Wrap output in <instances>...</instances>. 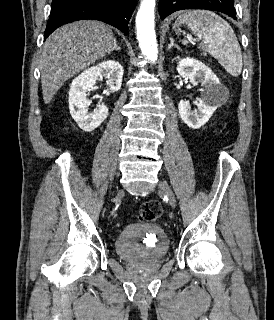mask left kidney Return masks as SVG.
<instances>
[{
    "label": "left kidney",
    "instance_id": "5707ae66",
    "mask_svg": "<svg viewBox=\"0 0 274 320\" xmlns=\"http://www.w3.org/2000/svg\"><path fill=\"white\" fill-rule=\"evenodd\" d=\"M177 72L182 78H188L193 86H204V90H200V98H196L197 110H192L190 102L186 100H180L178 104L180 118L184 124L192 130H199L213 116L215 110L226 102V88L220 84L211 68L193 58L180 60Z\"/></svg>",
    "mask_w": 274,
    "mask_h": 320
}]
</instances>
